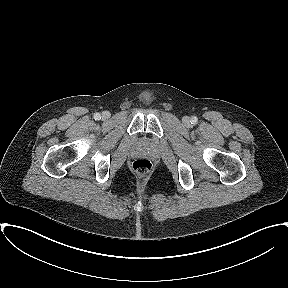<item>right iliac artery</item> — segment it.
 <instances>
[{
  "instance_id": "82829eb1",
  "label": "right iliac artery",
  "mask_w": 288,
  "mask_h": 288,
  "mask_svg": "<svg viewBox=\"0 0 288 288\" xmlns=\"http://www.w3.org/2000/svg\"><path fill=\"white\" fill-rule=\"evenodd\" d=\"M94 119H95V120H99V119H101L100 114H99V113H96V114L94 115Z\"/></svg>"
}]
</instances>
